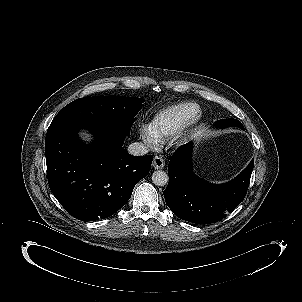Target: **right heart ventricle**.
<instances>
[{
	"mask_svg": "<svg viewBox=\"0 0 302 302\" xmlns=\"http://www.w3.org/2000/svg\"><path fill=\"white\" fill-rule=\"evenodd\" d=\"M199 110V105L193 102H180L170 105L153 116L149 128L161 140L168 139Z\"/></svg>",
	"mask_w": 302,
	"mask_h": 302,
	"instance_id": "e07e8e85",
	"label": "right heart ventricle"
}]
</instances>
